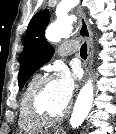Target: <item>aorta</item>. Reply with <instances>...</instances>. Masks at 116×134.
I'll list each match as a JSON object with an SVG mask.
<instances>
[{
	"instance_id": "1",
	"label": "aorta",
	"mask_w": 116,
	"mask_h": 134,
	"mask_svg": "<svg viewBox=\"0 0 116 134\" xmlns=\"http://www.w3.org/2000/svg\"><path fill=\"white\" fill-rule=\"evenodd\" d=\"M73 21L74 18L72 16H67L57 20L55 23H53L47 28L45 33L46 39L50 42H58L62 38H65L72 32ZM93 98V85L92 81L89 80L82 87L76 99L73 113L70 119V124L73 128H76L83 123V121L91 110Z\"/></svg>"
}]
</instances>
